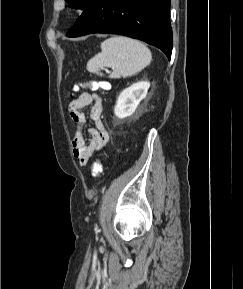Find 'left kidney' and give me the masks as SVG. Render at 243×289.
Wrapping results in <instances>:
<instances>
[{
    "label": "left kidney",
    "instance_id": "1",
    "mask_svg": "<svg viewBox=\"0 0 243 289\" xmlns=\"http://www.w3.org/2000/svg\"><path fill=\"white\" fill-rule=\"evenodd\" d=\"M149 86V82L141 81L123 90L116 101L115 115L120 119L132 115L139 103L146 97Z\"/></svg>",
    "mask_w": 243,
    "mask_h": 289
}]
</instances>
